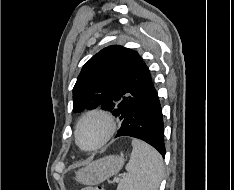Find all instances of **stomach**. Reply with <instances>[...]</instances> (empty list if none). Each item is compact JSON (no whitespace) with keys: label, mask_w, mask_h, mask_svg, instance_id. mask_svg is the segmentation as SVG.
Listing matches in <instances>:
<instances>
[{"label":"stomach","mask_w":234,"mask_h":190,"mask_svg":"<svg viewBox=\"0 0 234 190\" xmlns=\"http://www.w3.org/2000/svg\"><path fill=\"white\" fill-rule=\"evenodd\" d=\"M124 165L123 156L110 155L94 161L76 172V180L84 185H98L117 174Z\"/></svg>","instance_id":"obj_1"}]
</instances>
